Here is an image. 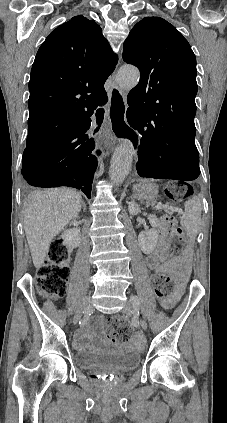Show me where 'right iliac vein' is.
Returning a JSON list of instances; mask_svg holds the SVG:
<instances>
[{"mask_svg":"<svg viewBox=\"0 0 227 423\" xmlns=\"http://www.w3.org/2000/svg\"><path fill=\"white\" fill-rule=\"evenodd\" d=\"M90 298H86V299H84V301L82 302V304L80 305V307H79V309H78V311L76 312V314H75V316H74V322L75 323H77L79 320H80V318H81V315H82V313L84 312V310H86V309H88L89 308V306H90Z\"/></svg>","mask_w":227,"mask_h":423,"instance_id":"obj_1","label":"right iliac vein"}]
</instances>
